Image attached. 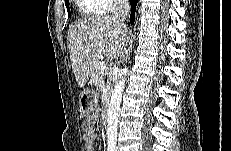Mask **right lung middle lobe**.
<instances>
[{
  "mask_svg": "<svg viewBox=\"0 0 231 151\" xmlns=\"http://www.w3.org/2000/svg\"><path fill=\"white\" fill-rule=\"evenodd\" d=\"M65 4H66V7H67L68 14H69V16H70L69 1L65 2Z\"/></svg>",
  "mask_w": 231,
  "mask_h": 151,
  "instance_id": "right-lung-middle-lobe-1",
  "label": "right lung middle lobe"
}]
</instances>
